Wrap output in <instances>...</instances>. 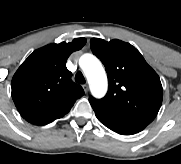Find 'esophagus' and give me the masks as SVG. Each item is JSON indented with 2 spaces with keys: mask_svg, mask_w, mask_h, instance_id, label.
Returning a JSON list of instances; mask_svg holds the SVG:
<instances>
[{
  "mask_svg": "<svg viewBox=\"0 0 181 164\" xmlns=\"http://www.w3.org/2000/svg\"><path fill=\"white\" fill-rule=\"evenodd\" d=\"M82 87H83V89H84L85 92H88V89H89V88H88V85H87V84H84Z\"/></svg>",
  "mask_w": 181,
  "mask_h": 164,
  "instance_id": "obj_1",
  "label": "esophagus"
}]
</instances>
